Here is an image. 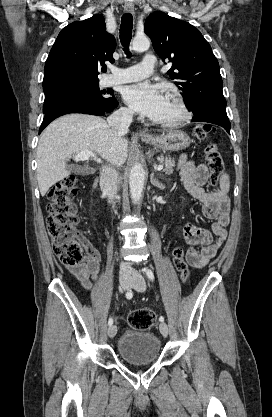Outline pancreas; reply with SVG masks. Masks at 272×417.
<instances>
[{"label":"pancreas","mask_w":272,"mask_h":417,"mask_svg":"<svg viewBox=\"0 0 272 417\" xmlns=\"http://www.w3.org/2000/svg\"><path fill=\"white\" fill-rule=\"evenodd\" d=\"M157 161L161 164H164L165 168L163 169V171L167 174H171L174 170V166H175V160L172 159L171 157H163L160 156L157 158Z\"/></svg>","instance_id":"pancreas-1"}]
</instances>
